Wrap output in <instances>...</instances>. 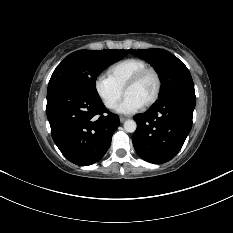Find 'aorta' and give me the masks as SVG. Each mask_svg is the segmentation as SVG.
Segmentation results:
<instances>
[{
  "instance_id": "762f6f07",
  "label": "aorta",
  "mask_w": 233,
  "mask_h": 233,
  "mask_svg": "<svg viewBox=\"0 0 233 233\" xmlns=\"http://www.w3.org/2000/svg\"><path fill=\"white\" fill-rule=\"evenodd\" d=\"M124 129L126 132L133 133L137 129V124L134 120H126L124 122Z\"/></svg>"
}]
</instances>
